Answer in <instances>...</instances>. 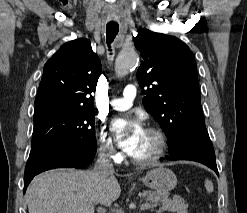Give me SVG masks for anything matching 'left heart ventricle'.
<instances>
[{"label":"left heart ventricle","mask_w":247,"mask_h":213,"mask_svg":"<svg viewBox=\"0 0 247 213\" xmlns=\"http://www.w3.org/2000/svg\"><path fill=\"white\" fill-rule=\"evenodd\" d=\"M158 147V140L155 135L145 132L139 147L132 155L138 159H147L154 155Z\"/></svg>","instance_id":"obj_1"}]
</instances>
